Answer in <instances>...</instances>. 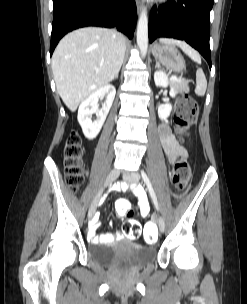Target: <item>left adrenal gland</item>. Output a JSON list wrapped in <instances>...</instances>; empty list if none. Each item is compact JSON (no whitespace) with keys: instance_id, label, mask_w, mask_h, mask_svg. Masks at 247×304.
<instances>
[{"instance_id":"a2214340","label":"left adrenal gland","mask_w":247,"mask_h":304,"mask_svg":"<svg viewBox=\"0 0 247 304\" xmlns=\"http://www.w3.org/2000/svg\"><path fill=\"white\" fill-rule=\"evenodd\" d=\"M155 67L160 68V63L158 61H156Z\"/></svg>"}]
</instances>
